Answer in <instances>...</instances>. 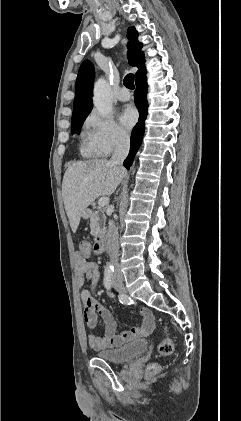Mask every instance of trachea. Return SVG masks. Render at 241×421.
Instances as JSON below:
<instances>
[{
  "label": "trachea",
  "mask_w": 241,
  "mask_h": 421,
  "mask_svg": "<svg viewBox=\"0 0 241 421\" xmlns=\"http://www.w3.org/2000/svg\"><path fill=\"white\" fill-rule=\"evenodd\" d=\"M124 85L128 88V89H134L135 85H134V75L133 74H128L125 76L124 78Z\"/></svg>",
  "instance_id": "1"
}]
</instances>
